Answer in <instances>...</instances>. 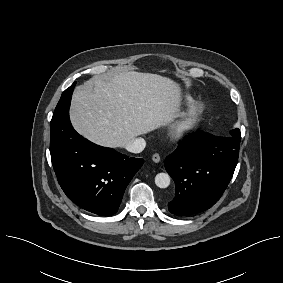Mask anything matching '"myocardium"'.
<instances>
[{"mask_svg": "<svg viewBox=\"0 0 283 283\" xmlns=\"http://www.w3.org/2000/svg\"><path fill=\"white\" fill-rule=\"evenodd\" d=\"M203 103H195L189 107L182 118L173 128V136L176 139H185L190 137L199 127L202 117L205 113Z\"/></svg>", "mask_w": 283, "mask_h": 283, "instance_id": "1", "label": "myocardium"}]
</instances>
